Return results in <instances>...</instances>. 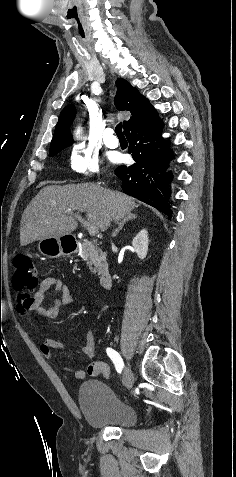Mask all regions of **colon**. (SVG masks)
<instances>
[{"mask_svg": "<svg viewBox=\"0 0 236 477\" xmlns=\"http://www.w3.org/2000/svg\"><path fill=\"white\" fill-rule=\"evenodd\" d=\"M13 287L17 292L19 305L31 302L30 290L38 283V270L34 258L30 254H19L14 260Z\"/></svg>", "mask_w": 236, "mask_h": 477, "instance_id": "5ec220e1", "label": "colon"}]
</instances>
